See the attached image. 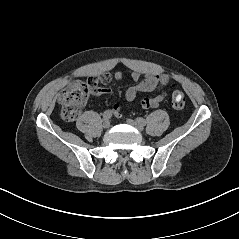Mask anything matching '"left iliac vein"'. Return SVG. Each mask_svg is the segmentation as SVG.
I'll list each match as a JSON object with an SVG mask.
<instances>
[{"instance_id":"obj_1","label":"left iliac vein","mask_w":239,"mask_h":239,"mask_svg":"<svg viewBox=\"0 0 239 239\" xmlns=\"http://www.w3.org/2000/svg\"><path fill=\"white\" fill-rule=\"evenodd\" d=\"M126 122L129 125H131V126L135 127L136 129H138L139 131H142L144 129L142 124H140L139 122H137V121H135L133 119H127Z\"/></svg>"}]
</instances>
